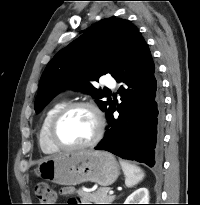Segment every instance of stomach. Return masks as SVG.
<instances>
[{
  "label": "stomach",
  "mask_w": 200,
  "mask_h": 205,
  "mask_svg": "<svg viewBox=\"0 0 200 205\" xmlns=\"http://www.w3.org/2000/svg\"><path fill=\"white\" fill-rule=\"evenodd\" d=\"M37 170L47 181L65 186H74L86 181L109 186L120 173L115 157L105 151L59 154L42 160Z\"/></svg>",
  "instance_id": "1"
}]
</instances>
